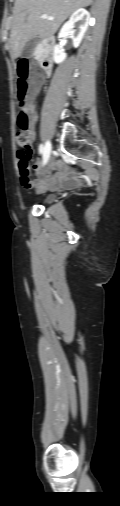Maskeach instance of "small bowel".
<instances>
[{"instance_id": "c3829d8e", "label": "small bowel", "mask_w": 120, "mask_h": 506, "mask_svg": "<svg viewBox=\"0 0 120 506\" xmlns=\"http://www.w3.org/2000/svg\"><path fill=\"white\" fill-rule=\"evenodd\" d=\"M44 84V79L39 77L38 79L33 78L32 88L30 92V99H34ZM32 122L36 121V114L33 109H30ZM34 137V132H33ZM33 169L36 172H40L41 163L36 162L33 165ZM21 186L25 189L34 188L37 192H43L46 189H71L77 186L78 179L71 172L66 170L65 164L58 161L52 160L45 174L35 180L30 178V175H20Z\"/></svg>"}]
</instances>
